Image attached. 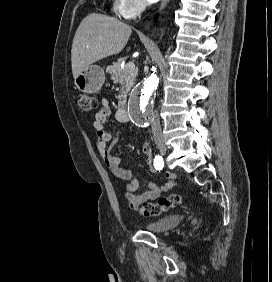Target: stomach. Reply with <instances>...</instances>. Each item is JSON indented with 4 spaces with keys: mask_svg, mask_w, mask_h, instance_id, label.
<instances>
[{
    "mask_svg": "<svg viewBox=\"0 0 272 282\" xmlns=\"http://www.w3.org/2000/svg\"><path fill=\"white\" fill-rule=\"evenodd\" d=\"M105 81L104 69L98 65H90L75 78L78 90L94 94L98 92Z\"/></svg>",
    "mask_w": 272,
    "mask_h": 282,
    "instance_id": "stomach-1",
    "label": "stomach"
}]
</instances>
